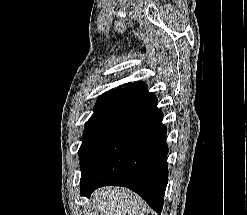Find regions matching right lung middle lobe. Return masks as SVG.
I'll list each match as a JSON object with an SVG mask.
<instances>
[{
    "label": "right lung middle lobe",
    "mask_w": 247,
    "mask_h": 215,
    "mask_svg": "<svg viewBox=\"0 0 247 215\" xmlns=\"http://www.w3.org/2000/svg\"><path fill=\"white\" fill-rule=\"evenodd\" d=\"M125 90L110 91L97 99L94 107V113L85 125L83 134V142L88 137L92 129L102 119V117L110 110V108L120 99Z\"/></svg>",
    "instance_id": "1"
}]
</instances>
